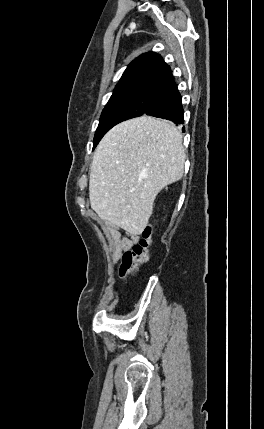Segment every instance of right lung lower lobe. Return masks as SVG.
<instances>
[{
	"label": "right lung lower lobe",
	"instance_id": "1",
	"mask_svg": "<svg viewBox=\"0 0 264 429\" xmlns=\"http://www.w3.org/2000/svg\"><path fill=\"white\" fill-rule=\"evenodd\" d=\"M183 113L181 96L172 78L162 87L144 114L181 124L184 122Z\"/></svg>",
	"mask_w": 264,
	"mask_h": 429
}]
</instances>
